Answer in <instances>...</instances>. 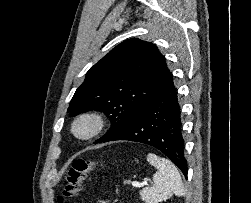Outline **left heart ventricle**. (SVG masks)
<instances>
[{"label":"left heart ventricle","mask_w":251,"mask_h":203,"mask_svg":"<svg viewBox=\"0 0 251 203\" xmlns=\"http://www.w3.org/2000/svg\"><path fill=\"white\" fill-rule=\"evenodd\" d=\"M87 125L86 124H83V125H81L80 127H79V131L80 132H84L86 129H87Z\"/></svg>","instance_id":"1"}]
</instances>
